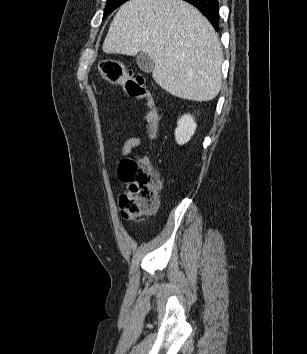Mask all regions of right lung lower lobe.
<instances>
[{
	"label": "right lung lower lobe",
	"instance_id": "right-lung-lower-lobe-1",
	"mask_svg": "<svg viewBox=\"0 0 307 354\" xmlns=\"http://www.w3.org/2000/svg\"><path fill=\"white\" fill-rule=\"evenodd\" d=\"M194 5L208 18L216 30L219 27V3L218 0H185Z\"/></svg>",
	"mask_w": 307,
	"mask_h": 354
}]
</instances>
